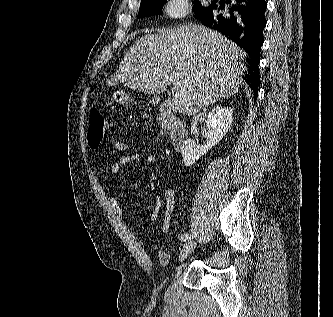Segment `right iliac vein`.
<instances>
[{
	"label": "right iliac vein",
	"instance_id": "1",
	"mask_svg": "<svg viewBox=\"0 0 333 317\" xmlns=\"http://www.w3.org/2000/svg\"><path fill=\"white\" fill-rule=\"evenodd\" d=\"M195 247H196V242L194 241H189L185 243L180 251L179 261L183 262L191 254V252L195 249Z\"/></svg>",
	"mask_w": 333,
	"mask_h": 317
}]
</instances>
